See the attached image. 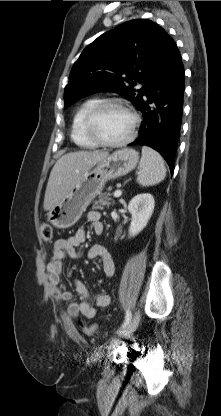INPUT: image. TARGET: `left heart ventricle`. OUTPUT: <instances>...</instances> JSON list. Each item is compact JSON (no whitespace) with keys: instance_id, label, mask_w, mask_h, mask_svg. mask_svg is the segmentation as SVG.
I'll use <instances>...</instances> for the list:
<instances>
[{"instance_id":"left-heart-ventricle-1","label":"left heart ventricle","mask_w":221,"mask_h":416,"mask_svg":"<svg viewBox=\"0 0 221 416\" xmlns=\"http://www.w3.org/2000/svg\"><path fill=\"white\" fill-rule=\"evenodd\" d=\"M131 124L132 118L125 110L112 106L99 115L95 128L102 138L114 142L129 134Z\"/></svg>"}]
</instances>
